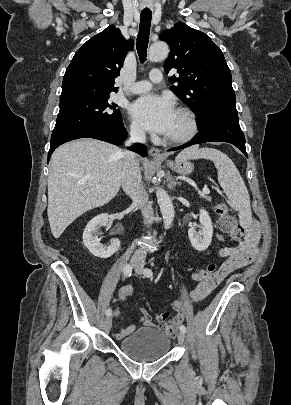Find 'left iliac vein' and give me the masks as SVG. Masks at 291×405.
<instances>
[{"mask_svg":"<svg viewBox=\"0 0 291 405\" xmlns=\"http://www.w3.org/2000/svg\"><path fill=\"white\" fill-rule=\"evenodd\" d=\"M135 271H136L137 274L141 275L142 272H143V267H142V266H138V267L135 269ZM178 342H179L180 345H184V342H185V333L182 332V331H180L179 334H178Z\"/></svg>","mask_w":291,"mask_h":405,"instance_id":"1","label":"left iliac vein"}]
</instances>
